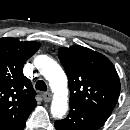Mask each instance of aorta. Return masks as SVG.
I'll return each instance as SVG.
<instances>
[{"label":"aorta","instance_id":"obj_1","mask_svg":"<svg viewBox=\"0 0 130 130\" xmlns=\"http://www.w3.org/2000/svg\"><path fill=\"white\" fill-rule=\"evenodd\" d=\"M35 67L49 82L53 91L51 114L61 119L68 111L67 76L59 64L46 55H38L34 59Z\"/></svg>","mask_w":130,"mask_h":130}]
</instances>
